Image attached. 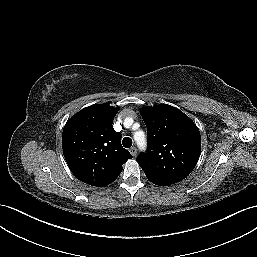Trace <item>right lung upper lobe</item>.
<instances>
[{
    "mask_svg": "<svg viewBox=\"0 0 257 257\" xmlns=\"http://www.w3.org/2000/svg\"><path fill=\"white\" fill-rule=\"evenodd\" d=\"M118 108L108 104L86 107L69 119L62 133L63 154L73 175L91 186H106L132 158L112 127Z\"/></svg>",
    "mask_w": 257,
    "mask_h": 257,
    "instance_id": "cb5924a9",
    "label": "right lung upper lobe"
}]
</instances>
